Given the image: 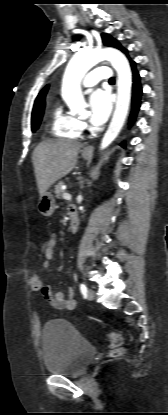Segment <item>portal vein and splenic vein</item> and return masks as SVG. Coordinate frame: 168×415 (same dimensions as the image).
Returning a JSON list of instances; mask_svg holds the SVG:
<instances>
[{
  "instance_id": "18ae733b",
  "label": "portal vein and splenic vein",
  "mask_w": 168,
  "mask_h": 415,
  "mask_svg": "<svg viewBox=\"0 0 168 415\" xmlns=\"http://www.w3.org/2000/svg\"><path fill=\"white\" fill-rule=\"evenodd\" d=\"M63 198H64V199H70V198H71V194H69V193H67V192H64V193H63Z\"/></svg>"
}]
</instances>
